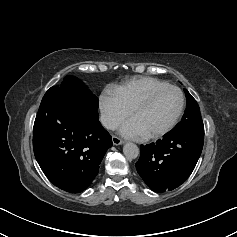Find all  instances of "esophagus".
I'll list each match as a JSON object with an SVG mask.
<instances>
[{
    "label": "esophagus",
    "mask_w": 237,
    "mask_h": 237,
    "mask_svg": "<svg viewBox=\"0 0 237 237\" xmlns=\"http://www.w3.org/2000/svg\"><path fill=\"white\" fill-rule=\"evenodd\" d=\"M112 142L116 146L124 143V141L117 136H112Z\"/></svg>",
    "instance_id": "esophagus-1"
}]
</instances>
